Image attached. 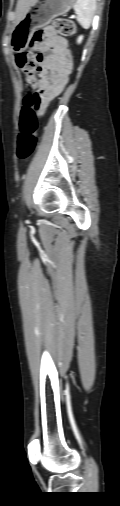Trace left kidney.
Masks as SVG:
<instances>
[{
	"instance_id": "1",
	"label": "left kidney",
	"mask_w": 120,
	"mask_h": 506,
	"mask_svg": "<svg viewBox=\"0 0 120 506\" xmlns=\"http://www.w3.org/2000/svg\"><path fill=\"white\" fill-rule=\"evenodd\" d=\"M82 39H83V37H82V36H80V37L78 38V43H80V42L82 41Z\"/></svg>"
}]
</instances>
